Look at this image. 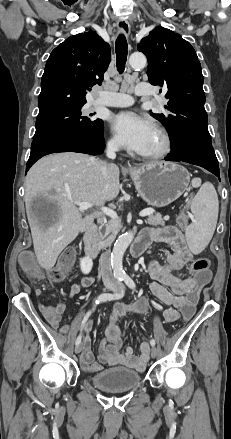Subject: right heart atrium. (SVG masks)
Segmentation results:
<instances>
[{
  "label": "right heart atrium",
  "instance_id": "1",
  "mask_svg": "<svg viewBox=\"0 0 231 439\" xmlns=\"http://www.w3.org/2000/svg\"><path fill=\"white\" fill-rule=\"evenodd\" d=\"M108 147L111 149H118L119 148V142L115 138H110L107 142Z\"/></svg>",
  "mask_w": 231,
  "mask_h": 439
}]
</instances>
